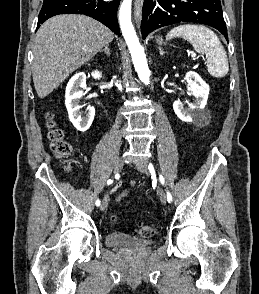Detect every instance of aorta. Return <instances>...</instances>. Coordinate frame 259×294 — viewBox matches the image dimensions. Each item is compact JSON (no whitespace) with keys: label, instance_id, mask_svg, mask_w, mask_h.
<instances>
[{"label":"aorta","instance_id":"762f6f07","mask_svg":"<svg viewBox=\"0 0 259 294\" xmlns=\"http://www.w3.org/2000/svg\"><path fill=\"white\" fill-rule=\"evenodd\" d=\"M131 6L132 0H123L119 10V25L139 79L145 84H148L150 80V70L147 65L144 48L139 42L131 21Z\"/></svg>","mask_w":259,"mask_h":294}]
</instances>
